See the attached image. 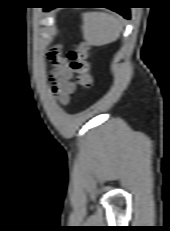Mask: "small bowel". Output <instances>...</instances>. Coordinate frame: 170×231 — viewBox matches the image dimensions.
Wrapping results in <instances>:
<instances>
[{
	"mask_svg": "<svg viewBox=\"0 0 170 231\" xmlns=\"http://www.w3.org/2000/svg\"><path fill=\"white\" fill-rule=\"evenodd\" d=\"M48 57L52 62L53 68V86L56 96L63 104L69 100L70 94L74 91L72 83V72L67 61L61 56L60 51L53 49L49 52Z\"/></svg>",
	"mask_w": 170,
	"mask_h": 231,
	"instance_id": "small-bowel-1",
	"label": "small bowel"
}]
</instances>
